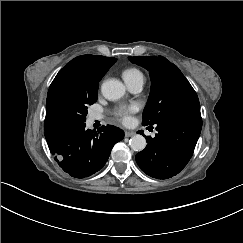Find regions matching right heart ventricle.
I'll list each match as a JSON object with an SVG mask.
<instances>
[{
    "label": "right heart ventricle",
    "mask_w": 243,
    "mask_h": 243,
    "mask_svg": "<svg viewBox=\"0 0 243 243\" xmlns=\"http://www.w3.org/2000/svg\"><path fill=\"white\" fill-rule=\"evenodd\" d=\"M121 76L128 86L144 82L143 72L136 67H130L122 71Z\"/></svg>",
    "instance_id": "right-heart-ventricle-1"
}]
</instances>
